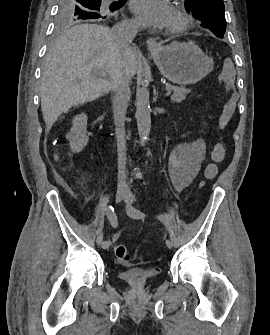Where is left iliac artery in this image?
Returning a JSON list of instances; mask_svg holds the SVG:
<instances>
[{
  "instance_id": "obj_1",
  "label": "left iliac artery",
  "mask_w": 270,
  "mask_h": 335,
  "mask_svg": "<svg viewBox=\"0 0 270 335\" xmlns=\"http://www.w3.org/2000/svg\"><path fill=\"white\" fill-rule=\"evenodd\" d=\"M131 212L135 217H138V218H143L145 216V214L143 212H141L140 210H138L134 207L131 208ZM158 219L161 220L164 223V225L166 226V228L168 229V231L170 233V239H171V242L174 245V247L179 246V240L176 237V235H175L170 223L168 222L167 218H165L163 216H158Z\"/></svg>"
}]
</instances>
